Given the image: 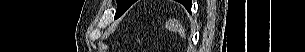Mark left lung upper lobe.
Returning a JSON list of instances; mask_svg holds the SVG:
<instances>
[{
    "label": "left lung upper lobe",
    "mask_w": 305,
    "mask_h": 52,
    "mask_svg": "<svg viewBox=\"0 0 305 52\" xmlns=\"http://www.w3.org/2000/svg\"><path fill=\"white\" fill-rule=\"evenodd\" d=\"M135 1L134 0H117V11L115 17H120ZM184 6H187L189 1H180Z\"/></svg>",
    "instance_id": "left-lung-upper-lobe-1"
}]
</instances>
